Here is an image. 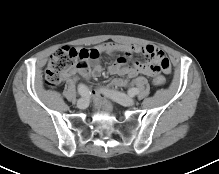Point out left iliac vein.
<instances>
[{
  "label": "left iliac vein",
  "instance_id": "left-iliac-vein-1",
  "mask_svg": "<svg viewBox=\"0 0 219 174\" xmlns=\"http://www.w3.org/2000/svg\"><path fill=\"white\" fill-rule=\"evenodd\" d=\"M108 96L116 101H118L120 104L124 106H133L135 105V100L124 93L118 92V91H109Z\"/></svg>",
  "mask_w": 219,
  "mask_h": 174
}]
</instances>
